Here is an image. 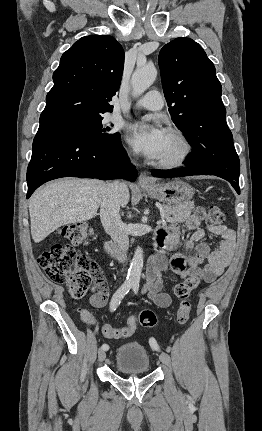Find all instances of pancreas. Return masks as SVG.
<instances>
[{
	"mask_svg": "<svg viewBox=\"0 0 262 431\" xmlns=\"http://www.w3.org/2000/svg\"><path fill=\"white\" fill-rule=\"evenodd\" d=\"M163 211L165 217H171V222H184L187 217L191 214V206L180 205V206H167L163 205Z\"/></svg>",
	"mask_w": 262,
	"mask_h": 431,
	"instance_id": "1",
	"label": "pancreas"
}]
</instances>
